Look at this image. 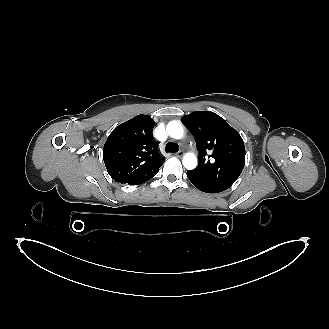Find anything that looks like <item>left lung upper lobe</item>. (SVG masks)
Wrapping results in <instances>:
<instances>
[{
  "label": "left lung upper lobe",
  "instance_id": "1",
  "mask_svg": "<svg viewBox=\"0 0 329 329\" xmlns=\"http://www.w3.org/2000/svg\"><path fill=\"white\" fill-rule=\"evenodd\" d=\"M195 136L198 166L190 172L198 179L227 190L245 165V146L240 134L223 118L210 111H196L182 117Z\"/></svg>",
  "mask_w": 329,
  "mask_h": 329
}]
</instances>
